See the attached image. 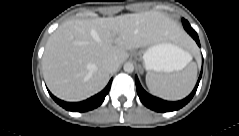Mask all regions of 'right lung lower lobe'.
I'll use <instances>...</instances> for the list:
<instances>
[{
  "mask_svg": "<svg viewBox=\"0 0 239 136\" xmlns=\"http://www.w3.org/2000/svg\"><path fill=\"white\" fill-rule=\"evenodd\" d=\"M111 82L108 83V85L105 87L104 90H102L100 93L96 94L95 96L84 100L82 102H65L62 101L55 96H53L49 91L50 96L54 99L55 102H57L60 106H62L64 109L68 111H73V112H85L92 110L94 108H97L102 104V102L105 99V96L108 94L110 87H111Z\"/></svg>",
  "mask_w": 239,
  "mask_h": 136,
  "instance_id": "1",
  "label": "right lung lower lobe"
}]
</instances>
